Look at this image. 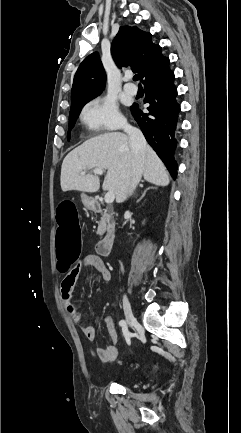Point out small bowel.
I'll list each match as a JSON object with an SVG mask.
<instances>
[{"label":"small bowel","mask_w":241,"mask_h":433,"mask_svg":"<svg viewBox=\"0 0 241 433\" xmlns=\"http://www.w3.org/2000/svg\"><path fill=\"white\" fill-rule=\"evenodd\" d=\"M93 267L104 281H109L111 273L106 266L105 262L97 253H91L84 257V259L78 262L73 269L67 272L61 283V299L64 308L70 318L79 326L83 336L88 341H94L96 337L95 328L91 325L84 323L80 312L75 306L72 300V291L75 283L84 268ZM103 323L106 327L107 333L112 341V344L105 347H98L96 349L97 356L102 362H111L116 359L118 355L117 340L118 334L115 327L114 320L111 316H105Z\"/></svg>","instance_id":"c3829d8e"}]
</instances>
